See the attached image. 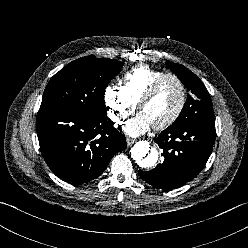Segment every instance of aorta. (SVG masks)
<instances>
[{
    "mask_svg": "<svg viewBox=\"0 0 248 248\" xmlns=\"http://www.w3.org/2000/svg\"><path fill=\"white\" fill-rule=\"evenodd\" d=\"M131 157L140 167L151 168L157 163L159 152L148 141H139L132 147Z\"/></svg>",
    "mask_w": 248,
    "mask_h": 248,
    "instance_id": "1",
    "label": "aorta"
}]
</instances>
